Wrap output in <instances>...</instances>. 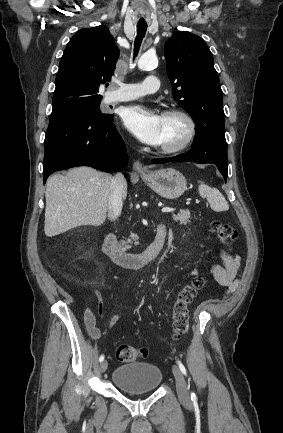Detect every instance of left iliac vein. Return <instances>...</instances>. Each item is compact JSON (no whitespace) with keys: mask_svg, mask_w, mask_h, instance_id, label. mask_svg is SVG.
Segmentation results:
<instances>
[{"mask_svg":"<svg viewBox=\"0 0 283 433\" xmlns=\"http://www.w3.org/2000/svg\"><path fill=\"white\" fill-rule=\"evenodd\" d=\"M172 369L176 381L178 396L185 405L190 406L191 399L185 378L177 365H173Z\"/></svg>","mask_w":283,"mask_h":433,"instance_id":"1","label":"left iliac vein"}]
</instances>
